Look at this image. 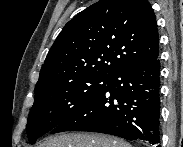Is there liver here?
<instances>
[{
	"mask_svg": "<svg viewBox=\"0 0 183 147\" xmlns=\"http://www.w3.org/2000/svg\"><path fill=\"white\" fill-rule=\"evenodd\" d=\"M38 147H131V145L110 136L72 133L47 139Z\"/></svg>",
	"mask_w": 183,
	"mask_h": 147,
	"instance_id": "liver-1",
	"label": "liver"
}]
</instances>
